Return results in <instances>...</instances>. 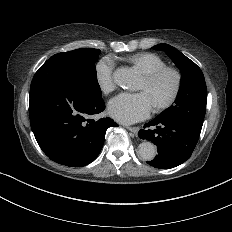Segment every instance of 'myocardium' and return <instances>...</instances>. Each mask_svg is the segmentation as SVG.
I'll return each mask as SVG.
<instances>
[{
  "label": "myocardium",
  "instance_id": "f54148a6",
  "mask_svg": "<svg viewBox=\"0 0 232 232\" xmlns=\"http://www.w3.org/2000/svg\"><path fill=\"white\" fill-rule=\"evenodd\" d=\"M165 73L173 74L175 78V86H174V89L170 97L156 108L157 112L166 110L167 108L172 106L173 103L176 101L177 97L179 96L181 86H182V76L177 69L170 67V66H164L162 68L157 69L156 71L152 73L144 75V78H143L147 85H153Z\"/></svg>",
  "mask_w": 232,
  "mask_h": 232
}]
</instances>
